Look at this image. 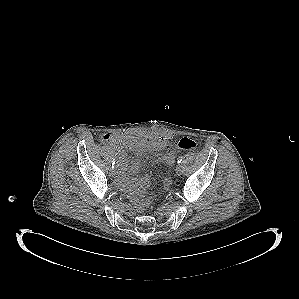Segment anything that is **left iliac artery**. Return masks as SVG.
Segmentation results:
<instances>
[{
  "mask_svg": "<svg viewBox=\"0 0 299 299\" xmlns=\"http://www.w3.org/2000/svg\"><path fill=\"white\" fill-rule=\"evenodd\" d=\"M178 161V163H181L182 162V160H183V158L180 156V157H178V159H177Z\"/></svg>",
  "mask_w": 299,
  "mask_h": 299,
  "instance_id": "1",
  "label": "left iliac artery"
}]
</instances>
